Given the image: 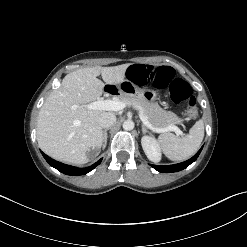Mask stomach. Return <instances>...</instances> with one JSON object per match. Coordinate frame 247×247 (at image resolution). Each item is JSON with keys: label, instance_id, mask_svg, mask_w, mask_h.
I'll use <instances>...</instances> for the list:
<instances>
[{"label": "stomach", "instance_id": "stomach-1", "mask_svg": "<svg viewBox=\"0 0 247 247\" xmlns=\"http://www.w3.org/2000/svg\"><path fill=\"white\" fill-rule=\"evenodd\" d=\"M120 94L130 97H139L150 103L155 102L158 99V92L151 89L138 88L134 83L125 80L120 83Z\"/></svg>", "mask_w": 247, "mask_h": 247}]
</instances>
